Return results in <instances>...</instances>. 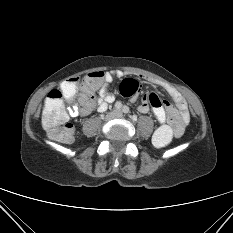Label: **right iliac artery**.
Segmentation results:
<instances>
[{
	"mask_svg": "<svg viewBox=\"0 0 233 233\" xmlns=\"http://www.w3.org/2000/svg\"><path fill=\"white\" fill-rule=\"evenodd\" d=\"M115 107H116L117 109H120V108L122 107V104H121L120 102H117V103L115 104Z\"/></svg>",
	"mask_w": 233,
	"mask_h": 233,
	"instance_id": "right-iliac-artery-1",
	"label": "right iliac artery"
}]
</instances>
